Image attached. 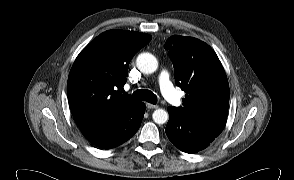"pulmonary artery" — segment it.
Returning <instances> with one entry per match:
<instances>
[{
  "instance_id": "1",
  "label": "pulmonary artery",
  "mask_w": 294,
  "mask_h": 180,
  "mask_svg": "<svg viewBox=\"0 0 294 180\" xmlns=\"http://www.w3.org/2000/svg\"><path fill=\"white\" fill-rule=\"evenodd\" d=\"M159 85L164 97H166L173 105L179 106L181 104L180 97L175 92L166 71H163L160 74Z\"/></svg>"
}]
</instances>
